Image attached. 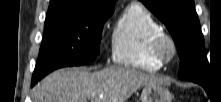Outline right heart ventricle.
<instances>
[{"mask_svg": "<svg viewBox=\"0 0 221 102\" xmlns=\"http://www.w3.org/2000/svg\"><path fill=\"white\" fill-rule=\"evenodd\" d=\"M162 31L153 14L137 2L128 4L112 32L111 58L117 65L157 71L162 65L148 53L151 37Z\"/></svg>", "mask_w": 221, "mask_h": 102, "instance_id": "obj_1", "label": "right heart ventricle"}]
</instances>
